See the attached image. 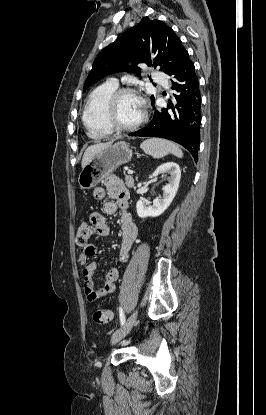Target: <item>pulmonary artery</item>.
Here are the masks:
<instances>
[{"label": "pulmonary artery", "instance_id": "e3ab8cb5", "mask_svg": "<svg viewBox=\"0 0 266 415\" xmlns=\"http://www.w3.org/2000/svg\"><path fill=\"white\" fill-rule=\"evenodd\" d=\"M153 79H154L155 82H157L159 84H162L164 86H167V80H166L165 76L162 73L154 72L153 73ZM109 82L112 83V84H115V85L118 84L116 79H111Z\"/></svg>", "mask_w": 266, "mask_h": 415}]
</instances>
